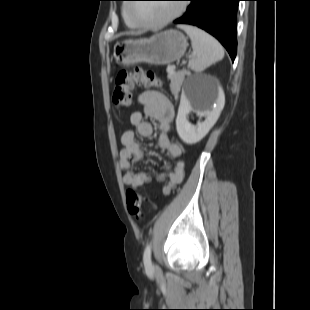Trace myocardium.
I'll list each match as a JSON object with an SVG mask.
<instances>
[{"label": "myocardium", "mask_w": 310, "mask_h": 310, "mask_svg": "<svg viewBox=\"0 0 310 310\" xmlns=\"http://www.w3.org/2000/svg\"><path fill=\"white\" fill-rule=\"evenodd\" d=\"M131 6H132V4H127L125 7V13H126V16L128 17V19L131 22H133L137 27L152 29V30L160 29V28L167 26L168 24H170L171 22H173L174 20H176L177 18L182 16L186 11V4L181 3L177 6L176 11L171 16L165 18L164 20H162L160 22L151 23V22H144V21H141V20L133 17L130 14V7Z\"/></svg>", "instance_id": "f54148a6"}]
</instances>
